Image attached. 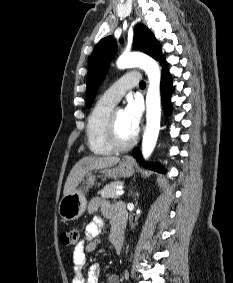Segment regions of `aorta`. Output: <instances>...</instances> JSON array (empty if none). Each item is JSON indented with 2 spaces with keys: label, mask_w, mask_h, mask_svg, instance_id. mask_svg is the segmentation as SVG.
<instances>
[{
  "label": "aorta",
  "mask_w": 233,
  "mask_h": 283,
  "mask_svg": "<svg viewBox=\"0 0 233 283\" xmlns=\"http://www.w3.org/2000/svg\"><path fill=\"white\" fill-rule=\"evenodd\" d=\"M116 65L119 69L140 67L148 76L149 87L146 95V129L142 140V155L144 159L147 160L155 148L160 130V68L153 58L137 52L122 54L118 58Z\"/></svg>",
  "instance_id": "obj_1"
}]
</instances>
